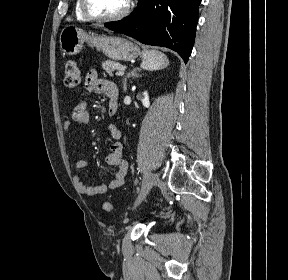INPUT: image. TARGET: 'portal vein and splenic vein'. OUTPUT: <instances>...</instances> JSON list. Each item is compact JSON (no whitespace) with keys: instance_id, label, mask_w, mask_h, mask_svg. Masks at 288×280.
Returning a JSON list of instances; mask_svg holds the SVG:
<instances>
[{"instance_id":"1","label":"portal vein and splenic vein","mask_w":288,"mask_h":280,"mask_svg":"<svg viewBox=\"0 0 288 280\" xmlns=\"http://www.w3.org/2000/svg\"><path fill=\"white\" fill-rule=\"evenodd\" d=\"M116 75H119V76L124 75V68L118 69V71L116 72Z\"/></svg>"}]
</instances>
